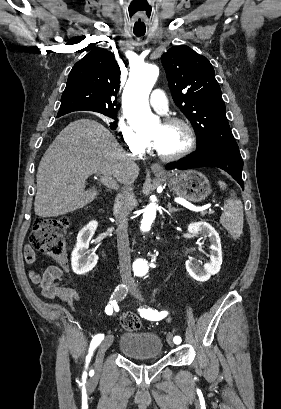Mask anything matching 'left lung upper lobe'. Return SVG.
<instances>
[{
    "instance_id": "1",
    "label": "left lung upper lobe",
    "mask_w": 281,
    "mask_h": 409,
    "mask_svg": "<svg viewBox=\"0 0 281 409\" xmlns=\"http://www.w3.org/2000/svg\"><path fill=\"white\" fill-rule=\"evenodd\" d=\"M169 87L175 104L191 121L197 148H238L225 115V104L209 60L188 46L173 47L163 54Z\"/></svg>"
}]
</instances>
